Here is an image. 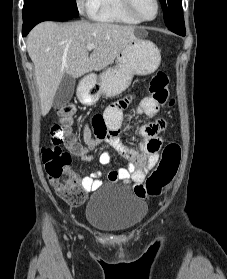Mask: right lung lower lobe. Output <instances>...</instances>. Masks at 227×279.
Returning a JSON list of instances; mask_svg holds the SVG:
<instances>
[{"instance_id":"obj_1","label":"right lung lower lobe","mask_w":227,"mask_h":279,"mask_svg":"<svg viewBox=\"0 0 227 279\" xmlns=\"http://www.w3.org/2000/svg\"><path fill=\"white\" fill-rule=\"evenodd\" d=\"M72 18L73 17L64 15L57 10L51 9L47 6H40L34 9L28 16L23 17L22 35L26 36L36 24L42 21H65Z\"/></svg>"}]
</instances>
